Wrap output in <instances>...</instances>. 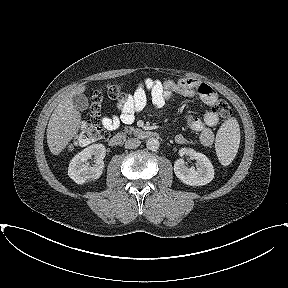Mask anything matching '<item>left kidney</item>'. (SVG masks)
<instances>
[{
  "instance_id": "5707ae66",
  "label": "left kidney",
  "mask_w": 288,
  "mask_h": 288,
  "mask_svg": "<svg viewBox=\"0 0 288 288\" xmlns=\"http://www.w3.org/2000/svg\"><path fill=\"white\" fill-rule=\"evenodd\" d=\"M180 156L188 155L197 161L198 167H187L183 159L174 163V173L184 184L190 186H202L211 182L214 178V169L210 160L202 153L192 149L182 148Z\"/></svg>"
}]
</instances>
